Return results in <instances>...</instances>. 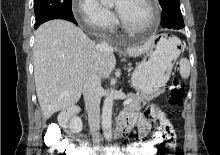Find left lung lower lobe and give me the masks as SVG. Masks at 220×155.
I'll return each instance as SVG.
<instances>
[{
  "label": "left lung lower lobe",
  "instance_id": "1",
  "mask_svg": "<svg viewBox=\"0 0 220 155\" xmlns=\"http://www.w3.org/2000/svg\"><path fill=\"white\" fill-rule=\"evenodd\" d=\"M161 26L169 29H180L184 27L180 6H172L162 10Z\"/></svg>",
  "mask_w": 220,
  "mask_h": 155
}]
</instances>
